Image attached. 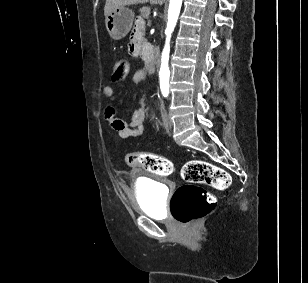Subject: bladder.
<instances>
[{
	"label": "bladder",
	"mask_w": 308,
	"mask_h": 283,
	"mask_svg": "<svg viewBox=\"0 0 308 283\" xmlns=\"http://www.w3.org/2000/svg\"><path fill=\"white\" fill-rule=\"evenodd\" d=\"M135 199L139 210L153 218L166 216L165 192L161 184L149 177H141L135 182Z\"/></svg>",
	"instance_id": "31cf9c89"
}]
</instances>
